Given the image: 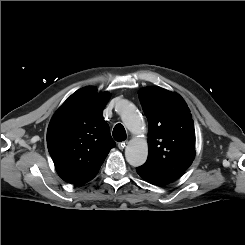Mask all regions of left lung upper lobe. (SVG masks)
<instances>
[{
    "label": "left lung upper lobe",
    "mask_w": 245,
    "mask_h": 245,
    "mask_svg": "<svg viewBox=\"0 0 245 245\" xmlns=\"http://www.w3.org/2000/svg\"><path fill=\"white\" fill-rule=\"evenodd\" d=\"M139 100L148 119V158L139 168L179 179L195 156V129L190 110L177 93L160 87L140 90Z\"/></svg>",
    "instance_id": "1"
}]
</instances>
